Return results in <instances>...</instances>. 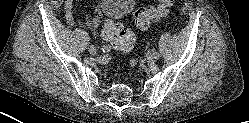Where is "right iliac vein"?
<instances>
[{
    "mask_svg": "<svg viewBox=\"0 0 249 123\" xmlns=\"http://www.w3.org/2000/svg\"><path fill=\"white\" fill-rule=\"evenodd\" d=\"M88 51L90 54L95 55L97 52V49L95 46L91 45V46H89Z\"/></svg>",
    "mask_w": 249,
    "mask_h": 123,
    "instance_id": "63e3f726",
    "label": "right iliac vein"
}]
</instances>
